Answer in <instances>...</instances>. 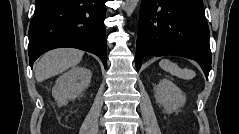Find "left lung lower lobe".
Returning <instances> with one entry per match:
<instances>
[{
    "label": "left lung lower lobe",
    "mask_w": 239,
    "mask_h": 134,
    "mask_svg": "<svg viewBox=\"0 0 239 134\" xmlns=\"http://www.w3.org/2000/svg\"><path fill=\"white\" fill-rule=\"evenodd\" d=\"M147 55L194 59L206 78L211 69L209 28L202 0H142L136 68Z\"/></svg>",
    "instance_id": "obj_1"
}]
</instances>
